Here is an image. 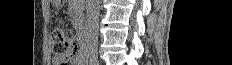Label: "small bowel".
<instances>
[{
  "label": "small bowel",
  "mask_w": 232,
  "mask_h": 65,
  "mask_svg": "<svg viewBox=\"0 0 232 65\" xmlns=\"http://www.w3.org/2000/svg\"><path fill=\"white\" fill-rule=\"evenodd\" d=\"M87 61V52L80 49L75 57L74 65H85Z\"/></svg>",
  "instance_id": "c3829d8e"
}]
</instances>
